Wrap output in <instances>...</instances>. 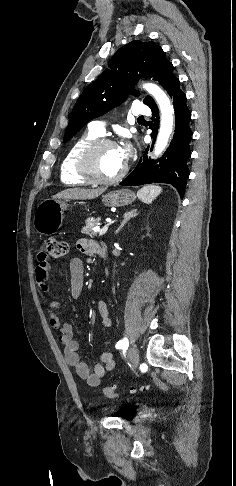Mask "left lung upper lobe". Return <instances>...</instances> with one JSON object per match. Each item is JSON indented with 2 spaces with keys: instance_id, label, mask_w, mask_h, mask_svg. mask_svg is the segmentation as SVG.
Here are the masks:
<instances>
[{
  "instance_id": "5c2ea615",
  "label": "left lung upper lobe",
  "mask_w": 236,
  "mask_h": 486,
  "mask_svg": "<svg viewBox=\"0 0 236 486\" xmlns=\"http://www.w3.org/2000/svg\"><path fill=\"white\" fill-rule=\"evenodd\" d=\"M106 69L81 94L76 102L64 135L66 143L87 122L105 114L121 104L133 91L139 78H153L164 87L175 77L173 65L164 51L154 42L132 41L120 48L108 63ZM153 99L146 96L144 103L149 105Z\"/></svg>"
}]
</instances>
